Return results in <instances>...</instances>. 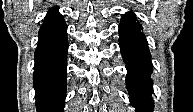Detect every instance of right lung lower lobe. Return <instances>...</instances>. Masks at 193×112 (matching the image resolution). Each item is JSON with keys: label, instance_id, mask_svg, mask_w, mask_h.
I'll use <instances>...</instances> for the list:
<instances>
[{"label": "right lung lower lobe", "instance_id": "98d812e1", "mask_svg": "<svg viewBox=\"0 0 193 112\" xmlns=\"http://www.w3.org/2000/svg\"><path fill=\"white\" fill-rule=\"evenodd\" d=\"M34 54V88L38 112H62L66 96L67 26L58 9H50L39 30Z\"/></svg>", "mask_w": 193, "mask_h": 112}]
</instances>
